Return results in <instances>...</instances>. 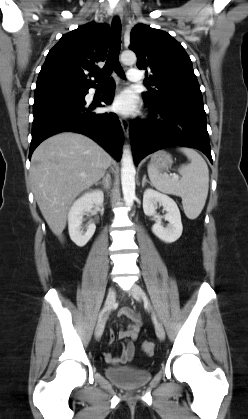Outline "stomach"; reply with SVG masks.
Instances as JSON below:
<instances>
[{
  "instance_id": "1",
  "label": "stomach",
  "mask_w": 248,
  "mask_h": 419,
  "mask_svg": "<svg viewBox=\"0 0 248 419\" xmlns=\"http://www.w3.org/2000/svg\"><path fill=\"white\" fill-rule=\"evenodd\" d=\"M151 164L157 168H167L172 164L171 155L160 150L152 155Z\"/></svg>"
}]
</instances>
